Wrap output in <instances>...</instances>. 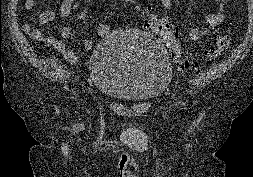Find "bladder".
I'll return each instance as SVG.
<instances>
[{"label":"bladder","mask_w":253,"mask_h":177,"mask_svg":"<svg viewBox=\"0 0 253 177\" xmlns=\"http://www.w3.org/2000/svg\"><path fill=\"white\" fill-rule=\"evenodd\" d=\"M89 66L100 93L129 102L159 97L172 74L164 47L143 33L129 30L102 40Z\"/></svg>","instance_id":"1"}]
</instances>
